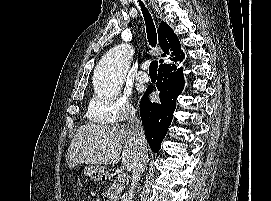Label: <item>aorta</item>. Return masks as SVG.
Listing matches in <instances>:
<instances>
[{
    "mask_svg": "<svg viewBox=\"0 0 271 201\" xmlns=\"http://www.w3.org/2000/svg\"><path fill=\"white\" fill-rule=\"evenodd\" d=\"M133 50L129 44H120L110 49L95 69L94 87L100 96L116 97L123 85L131 64Z\"/></svg>",
    "mask_w": 271,
    "mask_h": 201,
    "instance_id": "762f6f07",
    "label": "aorta"
}]
</instances>
